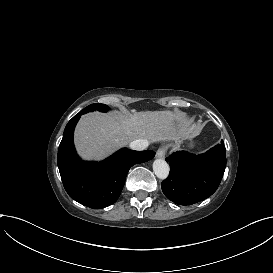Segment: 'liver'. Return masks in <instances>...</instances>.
I'll return each mask as SVG.
<instances>
[{
    "instance_id": "obj_1",
    "label": "liver",
    "mask_w": 273,
    "mask_h": 273,
    "mask_svg": "<svg viewBox=\"0 0 273 273\" xmlns=\"http://www.w3.org/2000/svg\"><path fill=\"white\" fill-rule=\"evenodd\" d=\"M181 111H146L132 114H89L75 130V145L84 159L101 160L138 139L150 142L185 140L199 135Z\"/></svg>"
}]
</instances>
